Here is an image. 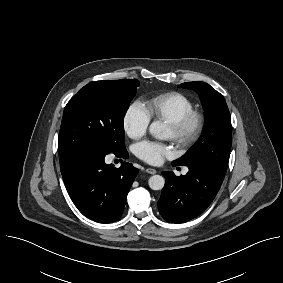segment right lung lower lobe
I'll return each mask as SVG.
<instances>
[{
  "label": "right lung lower lobe",
  "mask_w": 283,
  "mask_h": 283,
  "mask_svg": "<svg viewBox=\"0 0 283 283\" xmlns=\"http://www.w3.org/2000/svg\"><path fill=\"white\" fill-rule=\"evenodd\" d=\"M127 159L123 148L112 152ZM104 150L81 149L60 161V169L67 191L87 217L100 223L118 220L123 212L127 194L138 174V169L128 162L119 168L106 164Z\"/></svg>",
  "instance_id": "98d812e1"
}]
</instances>
